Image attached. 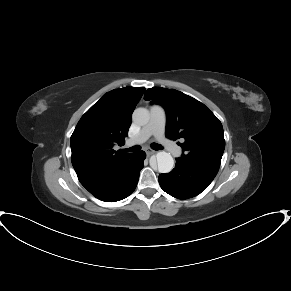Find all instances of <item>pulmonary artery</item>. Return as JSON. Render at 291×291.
I'll return each mask as SVG.
<instances>
[{
  "instance_id": "1",
  "label": "pulmonary artery",
  "mask_w": 291,
  "mask_h": 291,
  "mask_svg": "<svg viewBox=\"0 0 291 291\" xmlns=\"http://www.w3.org/2000/svg\"><path fill=\"white\" fill-rule=\"evenodd\" d=\"M149 109L150 118L148 123L140 130L136 137L129 139L126 142V146L131 147L141 145L151 136H154L159 142L167 146L174 156H178L181 153L180 148L164 136L166 126V113L164 108L160 105L154 104L151 105Z\"/></svg>"
}]
</instances>
